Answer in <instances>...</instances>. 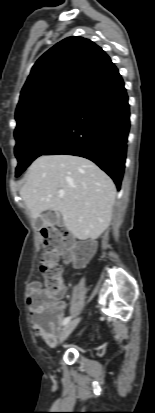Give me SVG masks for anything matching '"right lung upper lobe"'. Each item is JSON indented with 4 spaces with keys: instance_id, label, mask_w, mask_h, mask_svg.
<instances>
[{
    "instance_id": "1",
    "label": "right lung upper lobe",
    "mask_w": 155,
    "mask_h": 413,
    "mask_svg": "<svg viewBox=\"0 0 155 413\" xmlns=\"http://www.w3.org/2000/svg\"><path fill=\"white\" fill-rule=\"evenodd\" d=\"M109 56L94 42L68 37L44 53L21 91L17 127L64 104H78L118 74Z\"/></svg>"
}]
</instances>
